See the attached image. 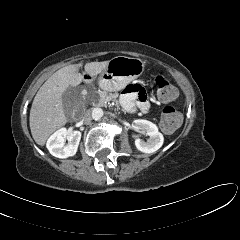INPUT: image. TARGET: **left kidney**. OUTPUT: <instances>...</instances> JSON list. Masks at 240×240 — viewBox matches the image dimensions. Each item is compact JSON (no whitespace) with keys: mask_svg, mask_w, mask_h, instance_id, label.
I'll return each instance as SVG.
<instances>
[{"mask_svg":"<svg viewBox=\"0 0 240 240\" xmlns=\"http://www.w3.org/2000/svg\"><path fill=\"white\" fill-rule=\"evenodd\" d=\"M132 128L137 132L143 131L149 136L146 142L139 138L135 140V146L139 151L153 153L163 145L164 137L154 123L148 120L137 119L133 121Z\"/></svg>","mask_w":240,"mask_h":240,"instance_id":"1","label":"left kidney"}]
</instances>
